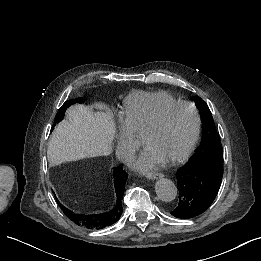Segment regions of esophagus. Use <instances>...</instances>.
<instances>
[{
    "label": "esophagus",
    "instance_id": "34e87169",
    "mask_svg": "<svg viewBox=\"0 0 261 261\" xmlns=\"http://www.w3.org/2000/svg\"><path fill=\"white\" fill-rule=\"evenodd\" d=\"M163 176V174L161 173H148L146 174V177L150 180H156L158 178H161Z\"/></svg>",
    "mask_w": 261,
    "mask_h": 261
}]
</instances>
